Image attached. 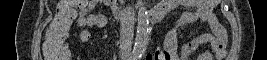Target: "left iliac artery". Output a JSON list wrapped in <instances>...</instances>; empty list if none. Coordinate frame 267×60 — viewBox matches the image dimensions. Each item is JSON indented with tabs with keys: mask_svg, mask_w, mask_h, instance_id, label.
<instances>
[{
	"mask_svg": "<svg viewBox=\"0 0 267 60\" xmlns=\"http://www.w3.org/2000/svg\"><path fill=\"white\" fill-rule=\"evenodd\" d=\"M143 55H140L139 58H142Z\"/></svg>",
	"mask_w": 267,
	"mask_h": 60,
	"instance_id": "obj_1",
	"label": "left iliac artery"
}]
</instances>
